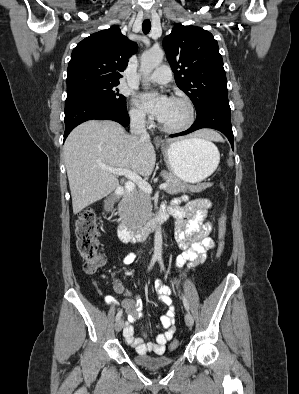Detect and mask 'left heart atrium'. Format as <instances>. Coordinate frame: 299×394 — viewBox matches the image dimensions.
Masks as SVG:
<instances>
[{
  "mask_svg": "<svg viewBox=\"0 0 299 394\" xmlns=\"http://www.w3.org/2000/svg\"><path fill=\"white\" fill-rule=\"evenodd\" d=\"M142 107L156 116L158 119H161L166 113L169 104L170 98L164 95H157L155 93H143L140 96Z\"/></svg>",
  "mask_w": 299,
  "mask_h": 394,
  "instance_id": "obj_1",
  "label": "left heart atrium"
}]
</instances>
